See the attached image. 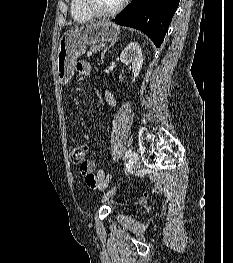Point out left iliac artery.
I'll use <instances>...</instances> for the list:
<instances>
[{
    "instance_id": "left-iliac-artery-1",
    "label": "left iliac artery",
    "mask_w": 233,
    "mask_h": 263,
    "mask_svg": "<svg viewBox=\"0 0 233 263\" xmlns=\"http://www.w3.org/2000/svg\"><path fill=\"white\" fill-rule=\"evenodd\" d=\"M131 154H132L131 150H127L125 153V158L131 157Z\"/></svg>"
}]
</instances>
